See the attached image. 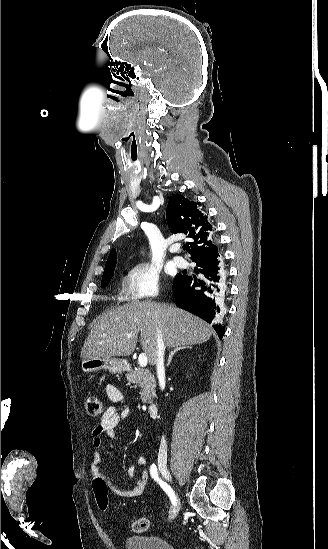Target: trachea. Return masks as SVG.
Masks as SVG:
<instances>
[{"mask_svg":"<svg viewBox=\"0 0 328 549\" xmlns=\"http://www.w3.org/2000/svg\"><path fill=\"white\" fill-rule=\"evenodd\" d=\"M188 248H189L188 245H183V249H184V250H187Z\"/></svg>","mask_w":328,"mask_h":549,"instance_id":"1","label":"trachea"}]
</instances>
